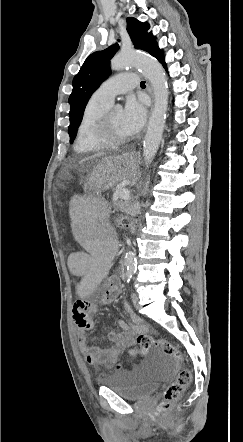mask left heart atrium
<instances>
[{
    "label": "left heart atrium",
    "instance_id": "obj_1",
    "mask_svg": "<svg viewBox=\"0 0 243 442\" xmlns=\"http://www.w3.org/2000/svg\"><path fill=\"white\" fill-rule=\"evenodd\" d=\"M145 119V105L135 99L128 100L123 110V121L130 135L137 133L143 127Z\"/></svg>",
    "mask_w": 243,
    "mask_h": 442
}]
</instances>
